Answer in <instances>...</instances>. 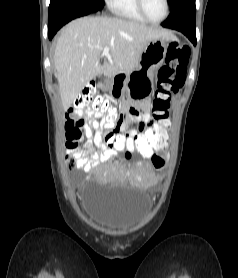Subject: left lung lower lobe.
<instances>
[{"label": "left lung lower lobe", "mask_w": 238, "mask_h": 278, "mask_svg": "<svg viewBox=\"0 0 238 278\" xmlns=\"http://www.w3.org/2000/svg\"><path fill=\"white\" fill-rule=\"evenodd\" d=\"M195 18V0H182L174 7L162 26L182 32L196 45Z\"/></svg>", "instance_id": "1"}]
</instances>
